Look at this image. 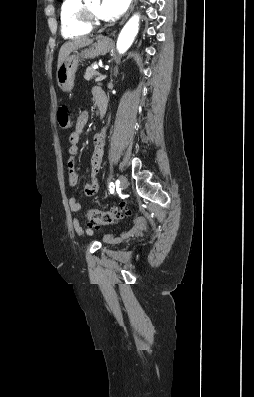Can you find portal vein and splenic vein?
<instances>
[{"label":"portal vein and splenic vein","mask_w":254,"mask_h":397,"mask_svg":"<svg viewBox=\"0 0 254 397\" xmlns=\"http://www.w3.org/2000/svg\"><path fill=\"white\" fill-rule=\"evenodd\" d=\"M106 78L105 75H98V77L95 79V82H100Z\"/></svg>","instance_id":"1"}]
</instances>
